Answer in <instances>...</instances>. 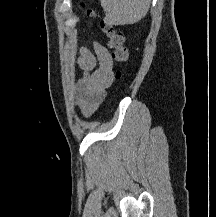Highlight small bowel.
Listing matches in <instances>:
<instances>
[{
  "mask_svg": "<svg viewBox=\"0 0 216 217\" xmlns=\"http://www.w3.org/2000/svg\"><path fill=\"white\" fill-rule=\"evenodd\" d=\"M94 52L82 47L77 64L83 71L75 86L76 105L85 117H91L106 97L113 82V57L101 44H93Z\"/></svg>",
  "mask_w": 216,
  "mask_h": 217,
  "instance_id": "small-bowel-1",
  "label": "small bowel"
}]
</instances>
